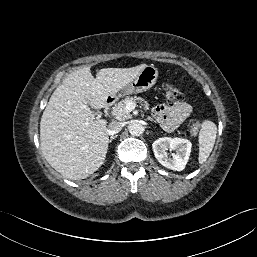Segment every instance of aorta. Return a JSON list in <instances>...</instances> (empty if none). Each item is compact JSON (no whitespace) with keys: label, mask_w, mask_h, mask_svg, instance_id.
I'll list each match as a JSON object with an SVG mask.
<instances>
[{"label":"aorta","mask_w":257,"mask_h":257,"mask_svg":"<svg viewBox=\"0 0 257 257\" xmlns=\"http://www.w3.org/2000/svg\"><path fill=\"white\" fill-rule=\"evenodd\" d=\"M144 131L143 126L138 121H133L129 125V132L133 136H140Z\"/></svg>","instance_id":"aorta-1"}]
</instances>
